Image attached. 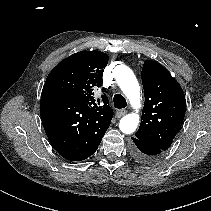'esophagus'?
<instances>
[{
  "instance_id": "obj_1",
  "label": "esophagus",
  "mask_w": 211,
  "mask_h": 211,
  "mask_svg": "<svg viewBox=\"0 0 211 211\" xmlns=\"http://www.w3.org/2000/svg\"><path fill=\"white\" fill-rule=\"evenodd\" d=\"M127 113V111L126 110H118L117 112H116V117L117 118H121V117H123L125 114Z\"/></svg>"
}]
</instances>
